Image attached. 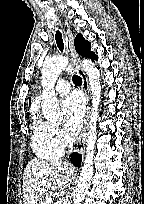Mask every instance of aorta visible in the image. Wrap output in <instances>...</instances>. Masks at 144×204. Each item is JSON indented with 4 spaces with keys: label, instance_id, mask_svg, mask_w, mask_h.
I'll list each match as a JSON object with an SVG mask.
<instances>
[{
    "label": "aorta",
    "instance_id": "obj_1",
    "mask_svg": "<svg viewBox=\"0 0 144 204\" xmlns=\"http://www.w3.org/2000/svg\"><path fill=\"white\" fill-rule=\"evenodd\" d=\"M68 62V57L58 56L45 61L42 67V111L43 115L50 121H58L60 118V109L58 99L54 91V85L58 76L68 65ZM82 66L89 78L90 89L92 92V110L87 133L86 156L81 168L79 181L73 194V204H81L93 177V159L97 139V121L99 115L98 108L101 101L100 98L102 90L100 73L95 64L91 60H83Z\"/></svg>",
    "mask_w": 144,
    "mask_h": 204
}]
</instances>
